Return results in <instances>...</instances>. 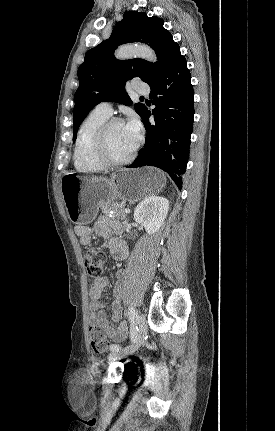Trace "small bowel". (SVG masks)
<instances>
[{"mask_svg":"<svg viewBox=\"0 0 275 431\" xmlns=\"http://www.w3.org/2000/svg\"><path fill=\"white\" fill-rule=\"evenodd\" d=\"M75 233L80 238V243L84 246L90 245L92 242L91 228L83 225L75 227ZM94 231L99 236L103 237L108 242V248L112 257L118 261L126 260L129 255V248L125 241L112 237L111 233L120 232V225L111 220L101 218L94 227ZM108 280L106 277H101L95 280L89 290L90 304H89V324L91 326L100 327L106 336L114 342H122L127 337V328L125 323L120 322L122 316V307L118 299L112 303V317L108 319L105 311L104 304L101 301V295ZM116 295H120V290H116Z\"/></svg>","mask_w":275,"mask_h":431,"instance_id":"obj_1","label":"small bowel"}]
</instances>
